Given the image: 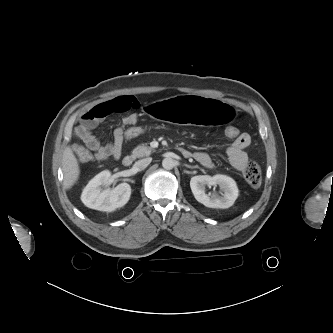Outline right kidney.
Instances as JSON below:
<instances>
[{
  "instance_id": "ca27d5eb",
  "label": "right kidney",
  "mask_w": 333,
  "mask_h": 333,
  "mask_svg": "<svg viewBox=\"0 0 333 333\" xmlns=\"http://www.w3.org/2000/svg\"><path fill=\"white\" fill-rule=\"evenodd\" d=\"M110 179L111 172L104 170L89 181L81 194V201L85 206L99 211L112 212L129 201L131 187L127 183H121L114 189L100 190V186L108 184Z\"/></svg>"
}]
</instances>
